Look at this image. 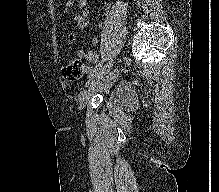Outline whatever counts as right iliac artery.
<instances>
[{"label": "right iliac artery", "mask_w": 219, "mask_h": 192, "mask_svg": "<svg viewBox=\"0 0 219 192\" xmlns=\"http://www.w3.org/2000/svg\"><path fill=\"white\" fill-rule=\"evenodd\" d=\"M103 64V60L99 61V63L95 66V68L93 69V74L100 69V67Z\"/></svg>", "instance_id": "1"}]
</instances>
